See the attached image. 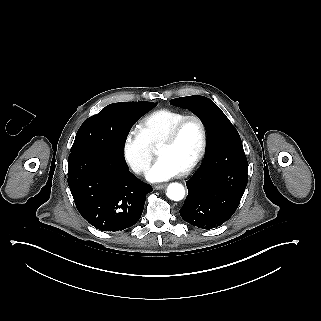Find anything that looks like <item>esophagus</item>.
Masks as SVG:
<instances>
[{
	"label": "esophagus",
	"instance_id": "esophagus-1",
	"mask_svg": "<svg viewBox=\"0 0 321 321\" xmlns=\"http://www.w3.org/2000/svg\"><path fill=\"white\" fill-rule=\"evenodd\" d=\"M166 187V184H159V185H156L154 188L155 190H160V189H163Z\"/></svg>",
	"mask_w": 321,
	"mask_h": 321
}]
</instances>
